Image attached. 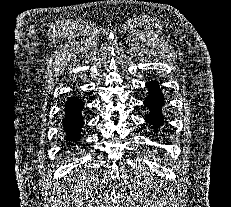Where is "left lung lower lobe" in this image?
Segmentation results:
<instances>
[{"instance_id":"obj_1","label":"left lung lower lobe","mask_w":231,"mask_h":207,"mask_svg":"<svg viewBox=\"0 0 231 207\" xmlns=\"http://www.w3.org/2000/svg\"><path fill=\"white\" fill-rule=\"evenodd\" d=\"M146 85L150 88V94L145 99L144 104L150 108V113L146 116L145 120L156 128L162 124L163 117L161 107L164 98L158 88L157 81L148 82Z\"/></svg>"}]
</instances>
